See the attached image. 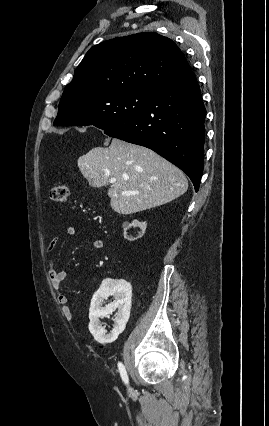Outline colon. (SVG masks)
<instances>
[{"label": "colon", "mask_w": 269, "mask_h": 426, "mask_svg": "<svg viewBox=\"0 0 269 426\" xmlns=\"http://www.w3.org/2000/svg\"><path fill=\"white\" fill-rule=\"evenodd\" d=\"M50 197L54 202L67 203L70 198V190L66 183L57 182L53 185L50 191Z\"/></svg>", "instance_id": "obj_1"}]
</instances>
